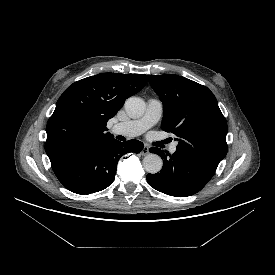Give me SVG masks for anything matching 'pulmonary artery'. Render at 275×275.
<instances>
[{
    "label": "pulmonary artery",
    "mask_w": 275,
    "mask_h": 275,
    "mask_svg": "<svg viewBox=\"0 0 275 275\" xmlns=\"http://www.w3.org/2000/svg\"><path fill=\"white\" fill-rule=\"evenodd\" d=\"M162 113V102L159 99L151 98L147 102L146 112L143 117L114 125L112 128V133L126 137L138 136L155 125L160 120ZM176 146V143L171 145V153L176 151Z\"/></svg>",
    "instance_id": "pulmonary-artery-1"
}]
</instances>
